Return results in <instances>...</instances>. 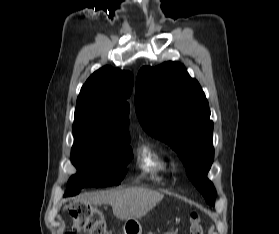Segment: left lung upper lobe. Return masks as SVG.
Masks as SVG:
<instances>
[{"mask_svg":"<svg viewBox=\"0 0 279 234\" xmlns=\"http://www.w3.org/2000/svg\"><path fill=\"white\" fill-rule=\"evenodd\" d=\"M135 107L144 130L176 151L188 178L214 206L217 193L207 179L214 159L213 122L198 81L180 63L143 67L136 79Z\"/></svg>","mask_w":279,"mask_h":234,"instance_id":"left-lung-upper-lobe-1","label":"left lung upper lobe"}]
</instances>
